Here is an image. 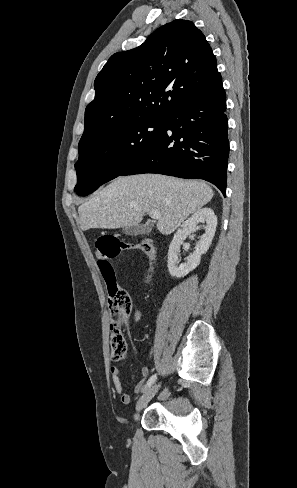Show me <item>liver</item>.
<instances>
[{
	"instance_id": "obj_1",
	"label": "liver",
	"mask_w": 297,
	"mask_h": 488,
	"mask_svg": "<svg viewBox=\"0 0 297 488\" xmlns=\"http://www.w3.org/2000/svg\"><path fill=\"white\" fill-rule=\"evenodd\" d=\"M213 190L204 182L160 174L118 177L78 208L80 228L116 229L138 225L157 210L158 230L173 233L192 213L207 204Z\"/></svg>"
}]
</instances>
